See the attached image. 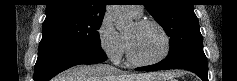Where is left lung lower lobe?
Returning a JSON list of instances; mask_svg holds the SVG:
<instances>
[{
	"label": "left lung lower lobe",
	"mask_w": 237,
	"mask_h": 81,
	"mask_svg": "<svg viewBox=\"0 0 237 81\" xmlns=\"http://www.w3.org/2000/svg\"><path fill=\"white\" fill-rule=\"evenodd\" d=\"M164 69H186L197 74L203 81H208V65L204 53L193 54L173 63L161 61L154 65L137 68L136 70L153 71Z\"/></svg>",
	"instance_id": "0a47b994"
}]
</instances>
